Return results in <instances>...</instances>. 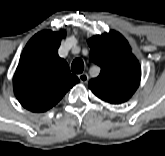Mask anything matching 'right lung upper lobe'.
Here are the masks:
<instances>
[{
  "label": "right lung upper lobe",
  "mask_w": 165,
  "mask_h": 156,
  "mask_svg": "<svg viewBox=\"0 0 165 156\" xmlns=\"http://www.w3.org/2000/svg\"><path fill=\"white\" fill-rule=\"evenodd\" d=\"M65 36V30H44L26 44L13 77L15 96L24 108L45 112L79 82L58 55L61 38Z\"/></svg>",
  "instance_id": "obj_1"
}]
</instances>
